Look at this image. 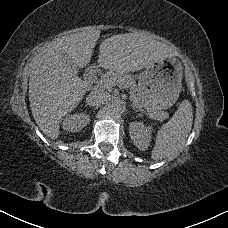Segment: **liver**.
I'll return each instance as SVG.
<instances>
[{
    "label": "liver",
    "instance_id": "obj_1",
    "mask_svg": "<svg viewBox=\"0 0 228 228\" xmlns=\"http://www.w3.org/2000/svg\"><path fill=\"white\" fill-rule=\"evenodd\" d=\"M101 31L85 32L56 39L31 60L29 103L33 120L51 141L61 137V125L82 102L88 85L71 70H87L93 61ZM164 43L143 34L110 36L100 45L98 66L116 73H134L176 56Z\"/></svg>",
    "mask_w": 228,
    "mask_h": 228
}]
</instances>
